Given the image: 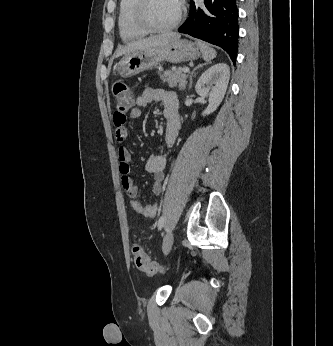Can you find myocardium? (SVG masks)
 Wrapping results in <instances>:
<instances>
[{
  "label": "myocardium",
  "mask_w": 333,
  "mask_h": 346,
  "mask_svg": "<svg viewBox=\"0 0 333 346\" xmlns=\"http://www.w3.org/2000/svg\"><path fill=\"white\" fill-rule=\"evenodd\" d=\"M150 0H137L135 6V19L137 24L146 32L163 33L174 29L182 20L184 14V3L178 0V10L174 19L165 26L154 25L148 17V5Z\"/></svg>",
  "instance_id": "obj_1"
}]
</instances>
